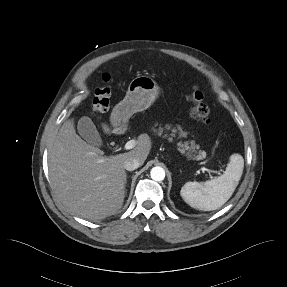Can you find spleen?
<instances>
[{
	"label": "spleen",
	"mask_w": 287,
	"mask_h": 287,
	"mask_svg": "<svg viewBox=\"0 0 287 287\" xmlns=\"http://www.w3.org/2000/svg\"><path fill=\"white\" fill-rule=\"evenodd\" d=\"M244 168L240 154H232L223 175L206 182H187L180 191L183 200L194 209L212 211L224 205L235 191Z\"/></svg>",
	"instance_id": "spleen-1"
}]
</instances>
